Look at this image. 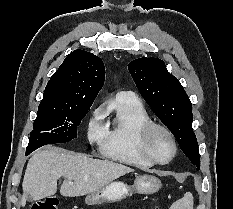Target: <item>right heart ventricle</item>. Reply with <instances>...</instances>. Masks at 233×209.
<instances>
[{"mask_svg":"<svg viewBox=\"0 0 233 209\" xmlns=\"http://www.w3.org/2000/svg\"><path fill=\"white\" fill-rule=\"evenodd\" d=\"M104 115L109 119L100 147L103 156L140 168L152 166L138 146L140 128L151 121L140 100L132 93L119 92L108 101Z\"/></svg>","mask_w":233,"mask_h":209,"instance_id":"e07e8e85","label":"right heart ventricle"}]
</instances>
